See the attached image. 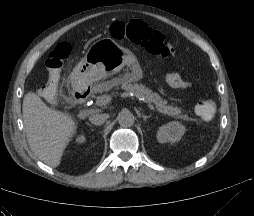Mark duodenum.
<instances>
[{"label":"duodenum","mask_w":254,"mask_h":216,"mask_svg":"<svg viewBox=\"0 0 254 216\" xmlns=\"http://www.w3.org/2000/svg\"><path fill=\"white\" fill-rule=\"evenodd\" d=\"M91 92V87L90 86H86L83 88L78 89L75 92V99L78 103H85L90 95Z\"/></svg>","instance_id":"1"}]
</instances>
